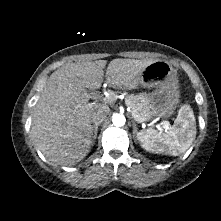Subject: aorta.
<instances>
[{"instance_id":"aorta-1","label":"aorta","mask_w":221,"mask_h":221,"mask_svg":"<svg viewBox=\"0 0 221 221\" xmlns=\"http://www.w3.org/2000/svg\"><path fill=\"white\" fill-rule=\"evenodd\" d=\"M112 122H113L114 126L121 127V126H123L125 124L126 118L122 114L115 113L112 116Z\"/></svg>"}]
</instances>
